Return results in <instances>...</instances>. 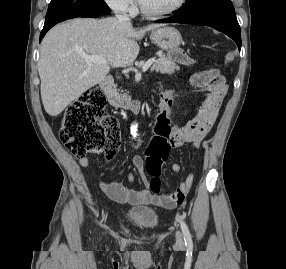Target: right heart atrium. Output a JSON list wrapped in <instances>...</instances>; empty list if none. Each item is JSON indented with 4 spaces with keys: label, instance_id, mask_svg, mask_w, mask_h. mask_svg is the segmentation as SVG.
I'll return each instance as SVG.
<instances>
[{
    "label": "right heart atrium",
    "instance_id": "1",
    "mask_svg": "<svg viewBox=\"0 0 286 269\" xmlns=\"http://www.w3.org/2000/svg\"><path fill=\"white\" fill-rule=\"evenodd\" d=\"M113 11L122 15H132L136 10L135 0H104Z\"/></svg>",
    "mask_w": 286,
    "mask_h": 269
}]
</instances>
